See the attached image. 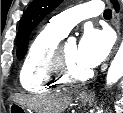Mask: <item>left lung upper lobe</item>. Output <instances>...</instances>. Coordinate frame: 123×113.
Segmentation results:
<instances>
[{"mask_svg": "<svg viewBox=\"0 0 123 113\" xmlns=\"http://www.w3.org/2000/svg\"><path fill=\"white\" fill-rule=\"evenodd\" d=\"M62 0H33L23 14L19 24L17 56L23 59L27 52L28 40L32 30L51 12Z\"/></svg>", "mask_w": 123, "mask_h": 113, "instance_id": "1", "label": "left lung upper lobe"}]
</instances>
